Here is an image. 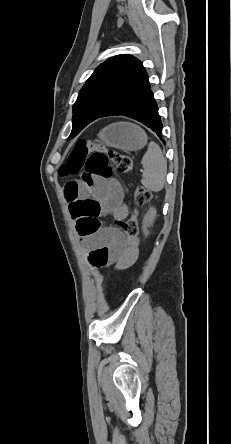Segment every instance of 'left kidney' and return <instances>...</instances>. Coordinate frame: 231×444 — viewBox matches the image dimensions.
Here are the masks:
<instances>
[{
    "instance_id": "left-kidney-1",
    "label": "left kidney",
    "mask_w": 231,
    "mask_h": 444,
    "mask_svg": "<svg viewBox=\"0 0 231 444\" xmlns=\"http://www.w3.org/2000/svg\"><path fill=\"white\" fill-rule=\"evenodd\" d=\"M155 218H156V210L154 208H151L146 213V215L144 216V219H143L142 230L145 235L149 234V231L147 228L150 227L154 223Z\"/></svg>"
}]
</instances>
